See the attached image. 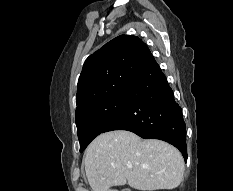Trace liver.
<instances>
[{
    "label": "liver",
    "mask_w": 233,
    "mask_h": 191,
    "mask_svg": "<svg viewBox=\"0 0 233 191\" xmlns=\"http://www.w3.org/2000/svg\"><path fill=\"white\" fill-rule=\"evenodd\" d=\"M84 164L92 191H117L111 188L127 182L142 191L174 189L184 173L177 148L157 139L142 140L126 130L97 136L86 150Z\"/></svg>",
    "instance_id": "liver-1"
}]
</instances>
